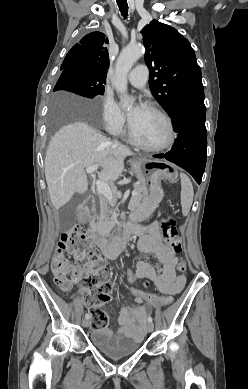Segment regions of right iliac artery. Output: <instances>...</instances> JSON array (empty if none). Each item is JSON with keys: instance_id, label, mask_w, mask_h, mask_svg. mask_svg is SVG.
Instances as JSON below:
<instances>
[{"instance_id": "obj_1", "label": "right iliac artery", "mask_w": 248, "mask_h": 389, "mask_svg": "<svg viewBox=\"0 0 248 389\" xmlns=\"http://www.w3.org/2000/svg\"><path fill=\"white\" fill-rule=\"evenodd\" d=\"M85 318L89 319V318H90V315H89V314H86V315H85Z\"/></svg>"}]
</instances>
